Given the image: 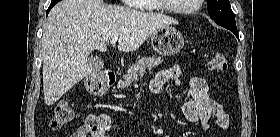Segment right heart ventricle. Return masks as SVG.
<instances>
[{
  "label": "right heart ventricle",
  "instance_id": "obj_1",
  "mask_svg": "<svg viewBox=\"0 0 280 137\" xmlns=\"http://www.w3.org/2000/svg\"><path fill=\"white\" fill-rule=\"evenodd\" d=\"M143 1H145V2H153L154 0H143ZM148 11H161V9L158 8V7H155V8L149 9Z\"/></svg>",
  "mask_w": 280,
  "mask_h": 137
}]
</instances>
